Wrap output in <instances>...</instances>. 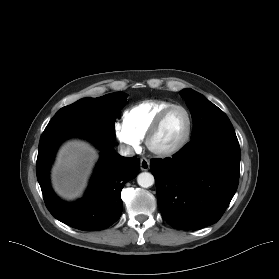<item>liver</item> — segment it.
<instances>
[{
    "label": "liver",
    "instance_id": "liver-1",
    "mask_svg": "<svg viewBox=\"0 0 279 279\" xmlns=\"http://www.w3.org/2000/svg\"><path fill=\"white\" fill-rule=\"evenodd\" d=\"M95 159L96 151L88 143L80 140L66 142L52 170L54 190L68 200L79 197Z\"/></svg>",
    "mask_w": 279,
    "mask_h": 279
}]
</instances>
